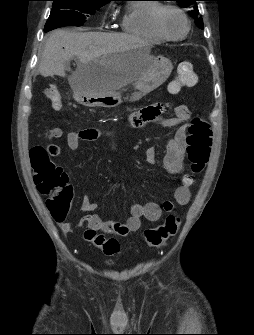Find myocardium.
<instances>
[{
	"label": "myocardium",
	"mask_w": 254,
	"mask_h": 335,
	"mask_svg": "<svg viewBox=\"0 0 254 335\" xmlns=\"http://www.w3.org/2000/svg\"><path fill=\"white\" fill-rule=\"evenodd\" d=\"M165 10H173L177 13H179L181 15V17L184 19L186 28L185 31L182 35L177 36V37H171L169 35H167L161 27V15ZM152 25L153 28L155 30V32L157 33V35H159L163 40H167V41H180L183 40L190 32L191 29V22L189 20V17L187 16V14L178 6L172 5V4H161L159 5L152 17Z\"/></svg>",
	"instance_id": "obj_1"
}]
</instances>
